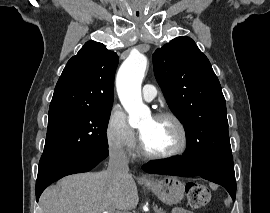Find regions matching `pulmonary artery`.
I'll return each mask as SVG.
<instances>
[{
	"label": "pulmonary artery",
	"mask_w": 270,
	"mask_h": 213,
	"mask_svg": "<svg viewBox=\"0 0 270 213\" xmlns=\"http://www.w3.org/2000/svg\"><path fill=\"white\" fill-rule=\"evenodd\" d=\"M156 97V89L151 84H146L143 87V98L146 101H152Z\"/></svg>",
	"instance_id": "pulmonary-artery-1"
}]
</instances>
